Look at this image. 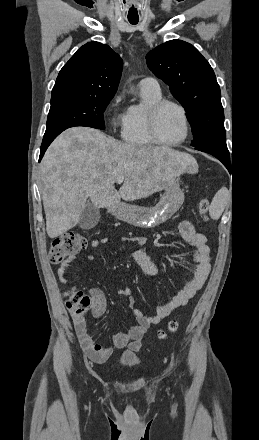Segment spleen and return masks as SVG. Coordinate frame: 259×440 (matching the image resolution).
Returning a JSON list of instances; mask_svg holds the SVG:
<instances>
[{"label":"spleen","instance_id":"obj_1","mask_svg":"<svg viewBox=\"0 0 259 440\" xmlns=\"http://www.w3.org/2000/svg\"><path fill=\"white\" fill-rule=\"evenodd\" d=\"M229 198L230 194L227 188L222 187L219 191H217V193L213 197L209 209V214L212 219L218 220L220 218Z\"/></svg>","mask_w":259,"mask_h":440}]
</instances>
